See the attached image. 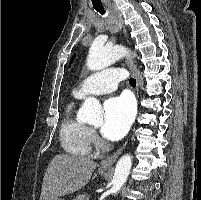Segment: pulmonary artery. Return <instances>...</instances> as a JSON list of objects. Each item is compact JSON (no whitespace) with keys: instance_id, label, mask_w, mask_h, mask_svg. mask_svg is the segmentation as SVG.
Returning <instances> with one entry per match:
<instances>
[{"instance_id":"1","label":"pulmonary artery","mask_w":201,"mask_h":200,"mask_svg":"<svg viewBox=\"0 0 201 200\" xmlns=\"http://www.w3.org/2000/svg\"><path fill=\"white\" fill-rule=\"evenodd\" d=\"M125 74L117 68H111L86 77L74 91V95L83 98L87 95L105 94L114 91Z\"/></svg>"}]
</instances>
